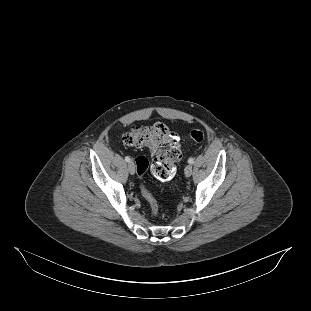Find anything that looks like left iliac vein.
Listing matches in <instances>:
<instances>
[{
	"label": "left iliac vein",
	"mask_w": 311,
	"mask_h": 311,
	"mask_svg": "<svg viewBox=\"0 0 311 311\" xmlns=\"http://www.w3.org/2000/svg\"><path fill=\"white\" fill-rule=\"evenodd\" d=\"M193 171L192 165H187L184 169V173L186 177H190Z\"/></svg>",
	"instance_id": "1"
}]
</instances>
